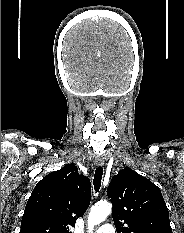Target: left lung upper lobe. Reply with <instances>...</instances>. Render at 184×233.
Returning <instances> with one entry per match:
<instances>
[{"mask_svg":"<svg viewBox=\"0 0 184 233\" xmlns=\"http://www.w3.org/2000/svg\"><path fill=\"white\" fill-rule=\"evenodd\" d=\"M117 233H172L169 213L160 189L126 167L107 189Z\"/></svg>","mask_w":184,"mask_h":233,"instance_id":"5c2ea615","label":"left lung upper lobe"}]
</instances>
